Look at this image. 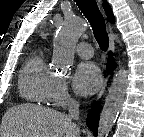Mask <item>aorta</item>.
<instances>
[{
	"label": "aorta",
	"instance_id": "1",
	"mask_svg": "<svg viewBox=\"0 0 144 137\" xmlns=\"http://www.w3.org/2000/svg\"><path fill=\"white\" fill-rule=\"evenodd\" d=\"M83 31L81 19L75 16L65 18L54 40L52 62L57 68L67 71L73 64L75 46ZM127 73L124 67H120L113 78L100 115L98 137H108L121 111L128 84Z\"/></svg>",
	"mask_w": 144,
	"mask_h": 137
}]
</instances>
